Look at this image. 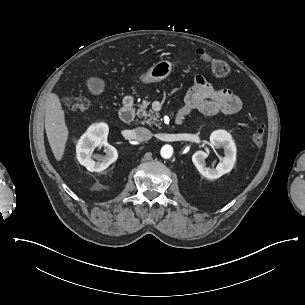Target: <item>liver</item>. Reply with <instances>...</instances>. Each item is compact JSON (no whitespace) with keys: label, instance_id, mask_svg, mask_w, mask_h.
I'll return each mask as SVG.
<instances>
[{"label":"liver","instance_id":"6515ba94","mask_svg":"<svg viewBox=\"0 0 305 305\" xmlns=\"http://www.w3.org/2000/svg\"><path fill=\"white\" fill-rule=\"evenodd\" d=\"M45 103V128L48 141L57 162H61L70 136V130L66 122V113L62 108L61 96L59 94L51 93L46 98Z\"/></svg>","mask_w":305,"mask_h":305}]
</instances>
